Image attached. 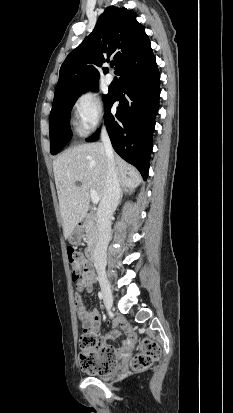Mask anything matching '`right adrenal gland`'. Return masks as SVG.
<instances>
[{"label":"right adrenal gland","mask_w":233,"mask_h":413,"mask_svg":"<svg viewBox=\"0 0 233 413\" xmlns=\"http://www.w3.org/2000/svg\"><path fill=\"white\" fill-rule=\"evenodd\" d=\"M128 193L130 194V193H132V191L129 190L128 188L123 187V188L121 189L120 198L122 199L123 194H128Z\"/></svg>","instance_id":"obj_1"}]
</instances>
